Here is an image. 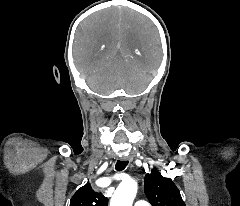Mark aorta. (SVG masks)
I'll return each mask as SVG.
<instances>
[{"label":"aorta","instance_id":"aorta-1","mask_svg":"<svg viewBox=\"0 0 240 206\" xmlns=\"http://www.w3.org/2000/svg\"><path fill=\"white\" fill-rule=\"evenodd\" d=\"M138 185L134 180L123 181L116 189L109 206H132Z\"/></svg>","mask_w":240,"mask_h":206}]
</instances>
